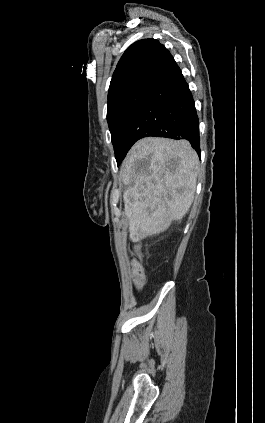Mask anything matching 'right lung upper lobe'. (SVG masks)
Returning <instances> with one entry per match:
<instances>
[{"label":"right lung upper lobe","instance_id":"obj_1","mask_svg":"<svg viewBox=\"0 0 265 423\" xmlns=\"http://www.w3.org/2000/svg\"><path fill=\"white\" fill-rule=\"evenodd\" d=\"M174 62L170 52L154 39L133 43L124 52L113 73L108 106L134 92H149Z\"/></svg>","mask_w":265,"mask_h":423}]
</instances>
